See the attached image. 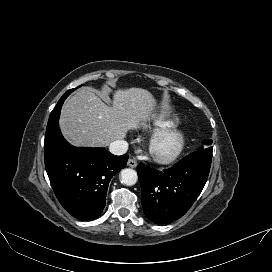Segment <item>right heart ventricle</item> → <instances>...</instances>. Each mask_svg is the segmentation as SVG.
I'll use <instances>...</instances> for the list:
<instances>
[{
  "mask_svg": "<svg viewBox=\"0 0 272 272\" xmlns=\"http://www.w3.org/2000/svg\"><path fill=\"white\" fill-rule=\"evenodd\" d=\"M177 122V118L174 116H171L168 113L161 112L156 115H154L150 121L144 125V128L147 129H164L169 126L174 125Z\"/></svg>",
  "mask_w": 272,
  "mask_h": 272,
  "instance_id": "right-heart-ventricle-1",
  "label": "right heart ventricle"
}]
</instances>
